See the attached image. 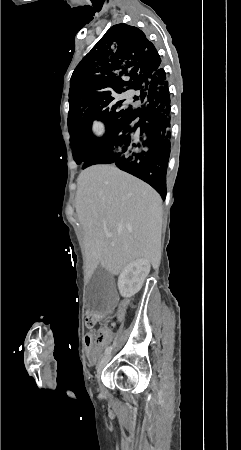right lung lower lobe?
<instances>
[{
    "label": "right lung lower lobe",
    "instance_id": "1",
    "mask_svg": "<svg viewBox=\"0 0 241 450\" xmlns=\"http://www.w3.org/2000/svg\"><path fill=\"white\" fill-rule=\"evenodd\" d=\"M145 107L133 121H127L94 144L87 121L75 125L70 133L74 141L73 154L87 157L84 166L115 164L151 185L164 199L166 172L170 155V93L166 74L161 67L142 78ZM143 139L131 150L120 155V148L134 136ZM82 167V168H83Z\"/></svg>",
    "mask_w": 241,
    "mask_h": 450
}]
</instances>
